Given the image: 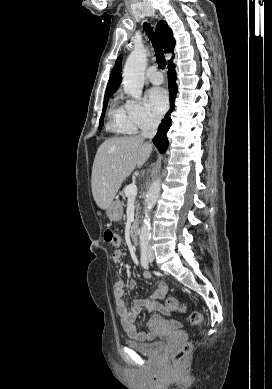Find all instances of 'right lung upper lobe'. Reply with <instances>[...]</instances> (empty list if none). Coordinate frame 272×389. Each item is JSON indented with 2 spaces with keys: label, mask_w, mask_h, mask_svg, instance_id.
I'll use <instances>...</instances> for the list:
<instances>
[{
  "label": "right lung upper lobe",
  "mask_w": 272,
  "mask_h": 389,
  "mask_svg": "<svg viewBox=\"0 0 272 389\" xmlns=\"http://www.w3.org/2000/svg\"><path fill=\"white\" fill-rule=\"evenodd\" d=\"M156 33L158 35L160 43L164 47L165 52H173L175 46V40L173 38V33L171 29L168 27L167 23L164 21H160L156 27ZM121 62H122V58L118 57L113 67L112 73L110 75L105 96L116 92L122 81ZM169 63H171V61Z\"/></svg>",
  "instance_id": "1"
}]
</instances>
